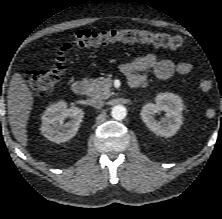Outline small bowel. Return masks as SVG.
<instances>
[{"label":"small bowel","instance_id":"c3829d8e","mask_svg":"<svg viewBox=\"0 0 222 219\" xmlns=\"http://www.w3.org/2000/svg\"><path fill=\"white\" fill-rule=\"evenodd\" d=\"M120 71L126 76L131 86L140 85L144 81L143 72L152 70L155 76L165 80L174 74L186 75L191 72L192 65L189 62H173L161 59L157 55L149 53L136 59L122 63Z\"/></svg>","mask_w":222,"mask_h":219}]
</instances>
